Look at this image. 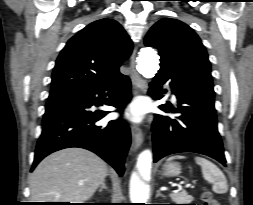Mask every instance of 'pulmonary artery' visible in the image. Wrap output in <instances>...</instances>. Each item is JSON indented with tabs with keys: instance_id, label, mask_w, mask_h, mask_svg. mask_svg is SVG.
<instances>
[{
	"instance_id": "pulmonary-artery-1",
	"label": "pulmonary artery",
	"mask_w": 253,
	"mask_h": 205,
	"mask_svg": "<svg viewBox=\"0 0 253 205\" xmlns=\"http://www.w3.org/2000/svg\"><path fill=\"white\" fill-rule=\"evenodd\" d=\"M172 99H173L174 101H176V96H175V95H172Z\"/></svg>"
}]
</instances>
